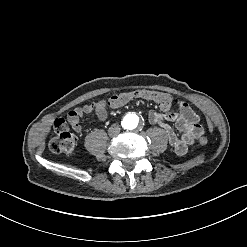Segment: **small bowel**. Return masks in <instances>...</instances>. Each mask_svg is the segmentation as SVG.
Instances as JSON below:
<instances>
[{
  "mask_svg": "<svg viewBox=\"0 0 247 247\" xmlns=\"http://www.w3.org/2000/svg\"><path fill=\"white\" fill-rule=\"evenodd\" d=\"M108 106H110V100L102 99L76 107L68 113V124L75 132L80 133L83 116L94 113L99 120L104 121L108 116ZM177 107L179 110L175 113H169V109L150 111L148 120L151 124L158 125L165 130L169 144L178 156H185L189 147L202 135L203 130L198 123V115L188 103L180 100ZM170 124H174L176 129L181 132V136L174 131Z\"/></svg>",
  "mask_w": 247,
  "mask_h": 247,
  "instance_id": "obj_1",
  "label": "small bowel"
}]
</instances>
